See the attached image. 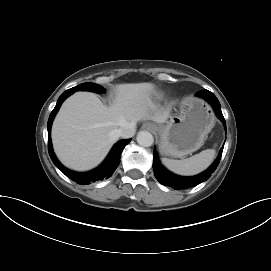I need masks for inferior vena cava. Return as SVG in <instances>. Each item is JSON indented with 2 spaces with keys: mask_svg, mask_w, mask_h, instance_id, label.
<instances>
[{
  "mask_svg": "<svg viewBox=\"0 0 271 271\" xmlns=\"http://www.w3.org/2000/svg\"><path fill=\"white\" fill-rule=\"evenodd\" d=\"M136 131V123L126 122L123 126L116 130V135L122 138H131Z\"/></svg>",
  "mask_w": 271,
  "mask_h": 271,
  "instance_id": "602c4592",
  "label": "inferior vena cava"
}]
</instances>
